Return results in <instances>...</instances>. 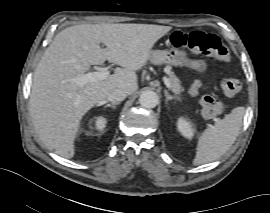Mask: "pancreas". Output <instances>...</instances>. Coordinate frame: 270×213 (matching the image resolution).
Listing matches in <instances>:
<instances>
[{
    "instance_id": "1",
    "label": "pancreas",
    "mask_w": 270,
    "mask_h": 213,
    "mask_svg": "<svg viewBox=\"0 0 270 213\" xmlns=\"http://www.w3.org/2000/svg\"><path fill=\"white\" fill-rule=\"evenodd\" d=\"M169 82L171 84L172 91L174 92L175 96L178 97L181 92L184 91V87L173 72L169 73Z\"/></svg>"
}]
</instances>
